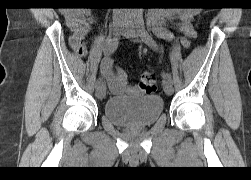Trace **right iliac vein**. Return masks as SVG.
I'll return each instance as SVG.
<instances>
[{"label": "right iliac vein", "instance_id": "1", "mask_svg": "<svg viewBox=\"0 0 251 180\" xmlns=\"http://www.w3.org/2000/svg\"><path fill=\"white\" fill-rule=\"evenodd\" d=\"M124 21H115L112 27V32L114 36H119L124 30ZM106 95V86L104 84L96 87V97L102 100Z\"/></svg>", "mask_w": 251, "mask_h": 180}]
</instances>
